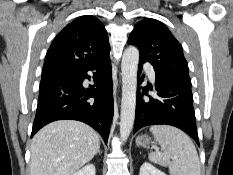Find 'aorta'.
Instances as JSON below:
<instances>
[{
    "instance_id": "obj_1",
    "label": "aorta",
    "mask_w": 233,
    "mask_h": 175,
    "mask_svg": "<svg viewBox=\"0 0 233 175\" xmlns=\"http://www.w3.org/2000/svg\"><path fill=\"white\" fill-rule=\"evenodd\" d=\"M139 51L136 47H128L123 54L122 71V100L120 116V137L126 141L130 135L135 119L137 70Z\"/></svg>"
}]
</instances>
